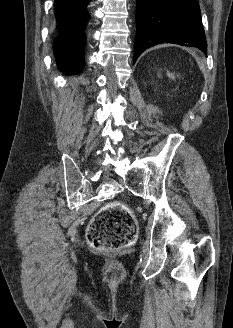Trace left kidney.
Instances as JSON below:
<instances>
[{"mask_svg":"<svg viewBox=\"0 0 233 328\" xmlns=\"http://www.w3.org/2000/svg\"><path fill=\"white\" fill-rule=\"evenodd\" d=\"M169 77L174 78L173 74H168Z\"/></svg>","mask_w":233,"mask_h":328,"instance_id":"obj_1","label":"left kidney"}]
</instances>
